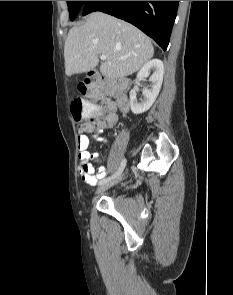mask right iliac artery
I'll return each instance as SVG.
<instances>
[{"label": "right iliac artery", "instance_id": "obj_1", "mask_svg": "<svg viewBox=\"0 0 233 295\" xmlns=\"http://www.w3.org/2000/svg\"><path fill=\"white\" fill-rule=\"evenodd\" d=\"M125 165H126V159H123L122 162H121V165H120L119 169L112 176L108 177L107 179L108 180H111V179L119 176L122 173V171L124 170Z\"/></svg>", "mask_w": 233, "mask_h": 295}]
</instances>
